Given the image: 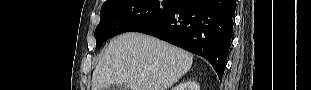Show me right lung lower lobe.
<instances>
[{
    "label": "right lung lower lobe",
    "mask_w": 311,
    "mask_h": 90,
    "mask_svg": "<svg viewBox=\"0 0 311 90\" xmlns=\"http://www.w3.org/2000/svg\"><path fill=\"white\" fill-rule=\"evenodd\" d=\"M235 0H179L155 23L138 30L205 57L220 80L233 31Z\"/></svg>",
    "instance_id": "98d812e1"
}]
</instances>
